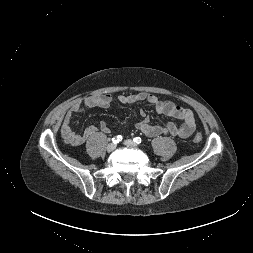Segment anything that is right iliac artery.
<instances>
[{
	"instance_id": "82829eb1",
	"label": "right iliac artery",
	"mask_w": 253,
	"mask_h": 253,
	"mask_svg": "<svg viewBox=\"0 0 253 253\" xmlns=\"http://www.w3.org/2000/svg\"><path fill=\"white\" fill-rule=\"evenodd\" d=\"M121 140H122L121 135H118V136H115L114 138H112L113 143H119Z\"/></svg>"
}]
</instances>
